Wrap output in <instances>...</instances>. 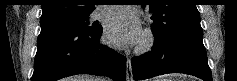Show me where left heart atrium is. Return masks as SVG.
Returning <instances> with one entry per match:
<instances>
[{
  "label": "left heart atrium",
  "instance_id": "left-heart-atrium-1",
  "mask_svg": "<svg viewBox=\"0 0 237 81\" xmlns=\"http://www.w3.org/2000/svg\"><path fill=\"white\" fill-rule=\"evenodd\" d=\"M105 37L110 44L115 46H135L142 38L140 22L131 14L114 17L107 23Z\"/></svg>",
  "mask_w": 237,
  "mask_h": 81
}]
</instances>
